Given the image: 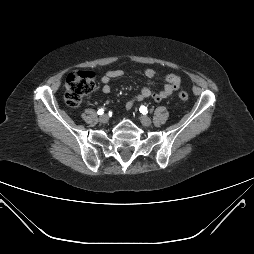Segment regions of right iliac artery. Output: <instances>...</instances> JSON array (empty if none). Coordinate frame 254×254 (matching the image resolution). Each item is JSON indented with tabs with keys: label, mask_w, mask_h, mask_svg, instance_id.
Wrapping results in <instances>:
<instances>
[{
	"label": "right iliac artery",
	"mask_w": 254,
	"mask_h": 254,
	"mask_svg": "<svg viewBox=\"0 0 254 254\" xmlns=\"http://www.w3.org/2000/svg\"><path fill=\"white\" fill-rule=\"evenodd\" d=\"M103 113H104V109H103V108H101V109L98 110V114H99V115H102Z\"/></svg>",
	"instance_id": "right-iliac-artery-1"
}]
</instances>
